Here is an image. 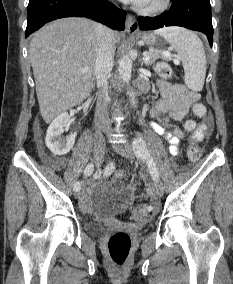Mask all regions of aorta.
<instances>
[{"instance_id":"762f6f07","label":"aorta","mask_w":233,"mask_h":284,"mask_svg":"<svg viewBox=\"0 0 233 284\" xmlns=\"http://www.w3.org/2000/svg\"><path fill=\"white\" fill-rule=\"evenodd\" d=\"M132 57H133L132 52L127 53L119 61V66H118L119 75L123 79V81L126 82L127 84H129V82L131 80ZM128 95L130 97L132 106L135 107L137 102H136L134 91L132 89L129 90Z\"/></svg>"}]
</instances>
